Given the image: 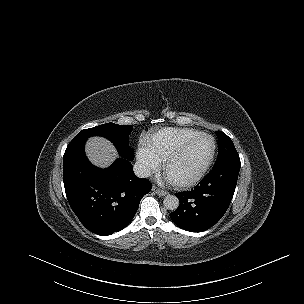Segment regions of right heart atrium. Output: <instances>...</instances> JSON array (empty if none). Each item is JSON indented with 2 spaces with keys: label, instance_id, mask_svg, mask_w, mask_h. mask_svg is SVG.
Returning a JSON list of instances; mask_svg holds the SVG:
<instances>
[{
  "label": "right heart atrium",
  "instance_id": "obj_1",
  "mask_svg": "<svg viewBox=\"0 0 304 304\" xmlns=\"http://www.w3.org/2000/svg\"><path fill=\"white\" fill-rule=\"evenodd\" d=\"M137 163L142 174L150 175L159 170L161 159L149 144L141 142L137 148Z\"/></svg>",
  "mask_w": 304,
  "mask_h": 304
}]
</instances>
